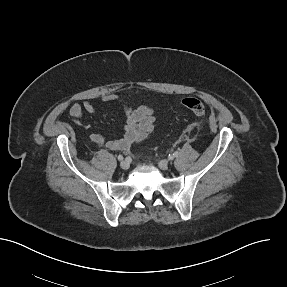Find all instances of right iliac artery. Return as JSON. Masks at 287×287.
<instances>
[{
	"instance_id": "obj_1",
	"label": "right iliac artery",
	"mask_w": 287,
	"mask_h": 287,
	"mask_svg": "<svg viewBox=\"0 0 287 287\" xmlns=\"http://www.w3.org/2000/svg\"><path fill=\"white\" fill-rule=\"evenodd\" d=\"M118 160H119V161H122V160H123V156H122V155H119V156H118Z\"/></svg>"
}]
</instances>
